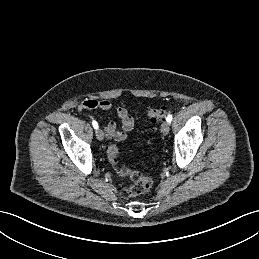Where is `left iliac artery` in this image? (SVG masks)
<instances>
[{
	"label": "left iliac artery",
	"mask_w": 259,
	"mask_h": 259,
	"mask_svg": "<svg viewBox=\"0 0 259 259\" xmlns=\"http://www.w3.org/2000/svg\"><path fill=\"white\" fill-rule=\"evenodd\" d=\"M166 121H167L168 123H170V122L172 121V115H171V114H169V115L167 116Z\"/></svg>",
	"instance_id": "44dca946"
}]
</instances>
